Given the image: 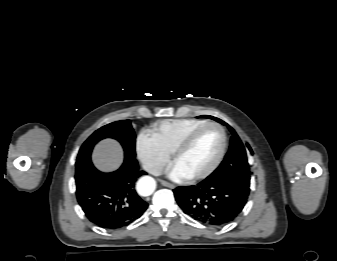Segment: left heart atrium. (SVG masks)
Returning <instances> with one entry per match:
<instances>
[{
	"mask_svg": "<svg viewBox=\"0 0 337 261\" xmlns=\"http://www.w3.org/2000/svg\"><path fill=\"white\" fill-rule=\"evenodd\" d=\"M168 173H169L170 178L174 180H184L189 177L182 170H180L176 165L172 166L169 169Z\"/></svg>",
	"mask_w": 337,
	"mask_h": 261,
	"instance_id": "obj_1",
	"label": "left heart atrium"
}]
</instances>
